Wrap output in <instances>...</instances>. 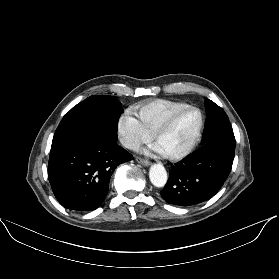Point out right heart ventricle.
Instances as JSON below:
<instances>
[{"label":"right heart ventricle","instance_id":"right-heart-ventricle-1","mask_svg":"<svg viewBox=\"0 0 279 279\" xmlns=\"http://www.w3.org/2000/svg\"><path fill=\"white\" fill-rule=\"evenodd\" d=\"M188 104L168 99H153L133 106L143 127L154 135L168 116L175 110Z\"/></svg>","mask_w":279,"mask_h":279}]
</instances>
